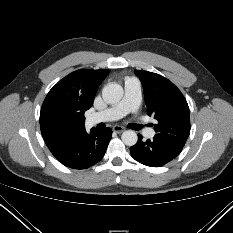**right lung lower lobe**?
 Returning a JSON list of instances; mask_svg holds the SVG:
<instances>
[{"instance_id":"98d812e1","label":"right lung lower lobe","mask_w":233,"mask_h":233,"mask_svg":"<svg viewBox=\"0 0 233 233\" xmlns=\"http://www.w3.org/2000/svg\"><path fill=\"white\" fill-rule=\"evenodd\" d=\"M111 137L110 128H92L90 134L84 131L51 152L66 167L87 169L103 158Z\"/></svg>"}]
</instances>
